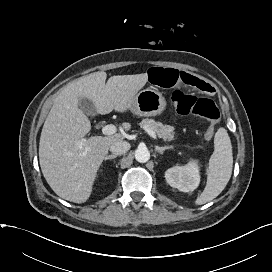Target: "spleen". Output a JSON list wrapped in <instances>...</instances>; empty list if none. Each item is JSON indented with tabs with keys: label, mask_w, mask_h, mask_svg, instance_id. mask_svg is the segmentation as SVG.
<instances>
[{
	"label": "spleen",
	"mask_w": 272,
	"mask_h": 272,
	"mask_svg": "<svg viewBox=\"0 0 272 272\" xmlns=\"http://www.w3.org/2000/svg\"><path fill=\"white\" fill-rule=\"evenodd\" d=\"M214 147L209 159L207 183L204 191L196 199V205H203L216 198L224 190L232 174V145L225 128L220 127L215 133Z\"/></svg>",
	"instance_id": "obj_1"
}]
</instances>
